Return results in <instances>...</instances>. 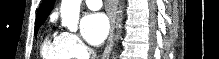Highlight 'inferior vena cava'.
<instances>
[{
  "instance_id": "1",
  "label": "inferior vena cava",
  "mask_w": 219,
  "mask_h": 59,
  "mask_svg": "<svg viewBox=\"0 0 219 59\" xmlns=\"http://www.w3.org/2000/svg\"><path fill=\"white\" fill-rule=\"evenodd\" d=\"M91 54H92V59H95L96 58V53L93 50H91Z\"/></svg>"
}]
</instances>
